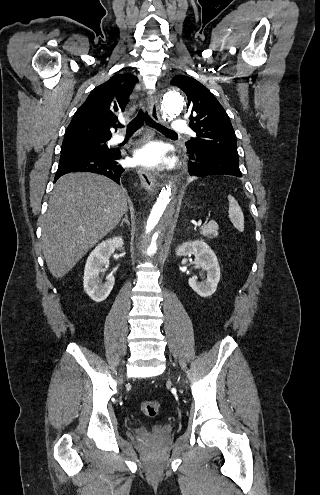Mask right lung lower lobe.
<instances>
[{
  "instance_id": "obj_1",
  "label": "right lung lower lobe",
  "mask_w": 320,
  "mask_h": 495,
  "mask_svg": "<svg viewBox=\"0 0 320 495\" xmlns=\"http://www.w3.org/2000/svg\"><path fill=\"white\" fill-rule=\"evenodd\" d=\"M120 158V151L115 150H108L104 152L84 150L61 152L59 166L54 182L66 173L92 172L105 175L119 183L121 174L125 170L118 163Z\"/></svg>"
}]
</instances>
